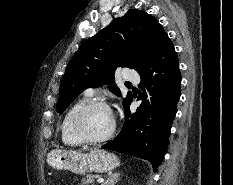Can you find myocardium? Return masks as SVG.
<instances>
[{"mask_svg": "<svg viewBox=\"0 0 233 185\" xmlns=\"http://www.w3.org/2000/svg\"><path fill=\"white\" fill-rule=\"evenodd\" d=\"M94 108H104L112 114V111H111L110 107L108 106V104L103 102V101H99V100L90 101V102L84 104L75 113V115L72 119V131H73V134L75 135V137L81 143H84V144L103 143V142L109 140L110 138H112L113 135L115 134V131H116V121H115V118L113 117V114H112L113 123H112L111 129L109 130V132L107 134H105L102 137H98V138H91L88 135H86V133L84 132V130L82 128V121H83V118L85 117V115Z\"/></svg>", "mask_w": 233, "mask_h": 185, "instance_id": "myocardium-1", "label": "myocardium"}]
</instances>
